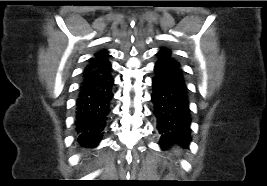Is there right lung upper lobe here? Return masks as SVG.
<instances>
[{"label":"right lung upper lobe","mask_w":267,"mask_h":186,"mask_svg":"<svg viewBox=\"0 0 267 186\" xmlns=\"http://www.w3.org/2000/svg\"><path fill=\"white\" fill-rule=\"evenodd\" d=\"M108 61V52L101 50L94 54V57L90 59L89 65H96Z\"/></svg>","instance_id":"right-lung-upper-lobe-1"}]
</instances>
